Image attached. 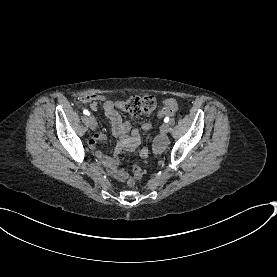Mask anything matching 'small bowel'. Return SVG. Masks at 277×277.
<instances>
[{
  "label": "small bowel",
  "instance_id": "obj_1",
  "mask_svg": "<svg viewBox=\"0 0 277 277\" xmlns=\"http://www.w3.org/2000/svg\"><path fill=\"white\" fill-rule=\"evenodd\" d=\"M96 101L103 103V109L104 114L107 117V119L110 121L111 129L113 133L116 135L118 144L116 148V153H121L124 150H133L135 149L139 143H140V134L138 130H132L131 124L127 121H123L121 115L117 111V103H115L112 100H107L106 95L99 94L92 92L89 96H87L86 101L83 102H90V101ZM93 102L90 105L91 110L96 111L99 108L98 103ZM177 104L176 101L172 98L165 100V107L160 112V116H170L172 115L176 110ZM141 129L143 132L149 131L151 129L150 123H144L141 126ZM96 139L98 140H105L106 134L105 133H96L94 137L90 140L89 146L93 150L96 149ZM97 156L100 159H104V163L106 165H109L111 169H113L114 176L120 180L123 181L126 179V173L121 170L117 169L118 161L114 158H105L104 155L100 151H96ZM147 149L143 148L141 150V156L146 159L147 158Z\"/></svg>",
  "mask_w": 277,
  "mask_h": 277
}]
</instances>
